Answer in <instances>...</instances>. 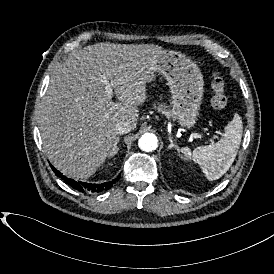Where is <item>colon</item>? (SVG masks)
<instances>
[{"mask_svg": "<svg viewBox=\"0 0 274 274\" xmlns=\"http://www.w3.org/2000/svg\"><path fill=\"white\" fill-rule=\"evenodd\" d=\"M211 87L213 91L211 104L216 109H222L227 105L228 99L222 78L216 74L211 79Z\"/></svg>", "mask_w": 274, "mask_h": 274, "instance_id": "5ec220e1", "label": "colon"}]
</instances>
